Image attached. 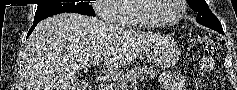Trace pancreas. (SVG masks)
I'll return each mask as SVG.
<instances>
[{
    "label": "pancreas",
    "instance_id": "obj_1",
    "mask_svg": "<svg viewBox=\"0 0 237 90\" xmlns=\"http://www.w3.org/2000/svg\"><path fill=\"white\" fill-rule=\"evenodd\" d=\"M156 74L158 72H154L152 68H133L122 76V82L118 86H128L129 82H143L147 78L151 80V78H156Z\"/></svg>",
    "mask_w": 237,
    "mask_h": 90
}]
</instances>
